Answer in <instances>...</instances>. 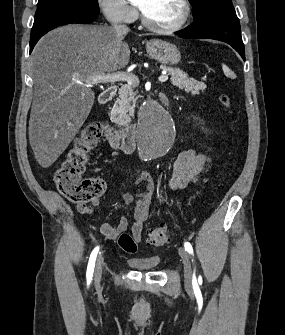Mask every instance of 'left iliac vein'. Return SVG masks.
Returning a JSON list of instances; mask_svg holds the SVG:
<instances>
[{
  "label": "left iliac vein",
  "mask_w": 285,
  "mask_h": 335,
  "mask_svg": "<svg viewBox=\"0 0 285 335\" xmlns=\"http://www.w3.org/2000/svg\"><path fill=\"white\" fill-rule=\"evenodd\" d=\"M178 251L183 262L185 282L188 286H190L192 284V266L189 255L183 247H179Z\"/></svg>",
  "instance_id": "4c4485c4"
}]
</instances>
